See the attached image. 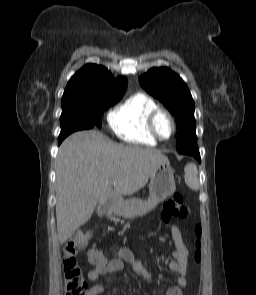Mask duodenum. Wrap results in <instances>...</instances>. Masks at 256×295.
Returning a JSON list of instances; mask_svg holds the SVG:
<instances>
[{"label": "duodenum", "mask_w": 256, "mask_h": 295, "mask_svg": "<svg viewBox=\"0 0 256 295\" xmlns=\"http://www.w3.org/2000/svg\"><path fill=\"white\" fill-rule=\"evenodd\" d=\"M114 208H115V202L112 199L107 200L106 202L102 203L99 206L100 213L103 214V215L112 214L113 211H114Z\"/></svg>", "instance_id": "obj_1"}]
</instances>
